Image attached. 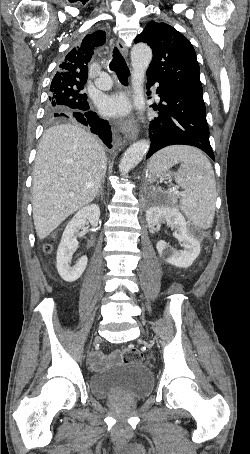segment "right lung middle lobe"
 I'll return each mask as SVG.
<instances>
[{"mask_svg": "<svg viewBox=\"0 0 250 454\" xmlns=\"http://www.w3.org/2000/svg\"><path fill=\"white\" fill-rule=\"evenodd\" d=\"M83 88L84 85L70 87L65 85H51L45 113L47 121L61 120L63 119L61 117L62 113L70 114L74 110H79L87 106V95L81 92Z\"/></svg>", "mask_w": 250, "mask_h": 454, "instance_id": "1", "label": "right lung middle lobe"}]
</instances>
